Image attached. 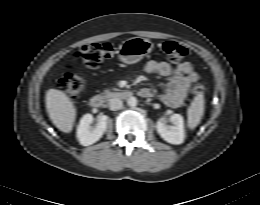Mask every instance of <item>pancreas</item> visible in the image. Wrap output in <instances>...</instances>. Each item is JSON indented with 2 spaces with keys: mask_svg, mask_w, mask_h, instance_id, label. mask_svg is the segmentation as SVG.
<instances>
[{
  "mask_svg": "<svg viewBox=\"0 0 260 205\" xmlns=\"http://www.w3.org/2000/svg\"><path fill=\"white\" fill-rule=\"evenodd\" d=\"M104 94L109 95V94H110V91H109L108 89H106V90L104 91Z\"/></svg>",
  "mask_w": 260,
  "mask_h": 205,
  "instance_id": "1",
  "label": "pancreas"
}]
</instances>
